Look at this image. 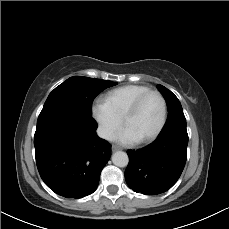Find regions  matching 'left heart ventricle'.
<instances>
[{
	"label": "left heart ventricle",
	"instance_id": "obj_1",
	"mask_svg": "<svg viewBox=\"0 0 229 229\" xmlns=\"http://www.w3.org/2000/svg\"><path fill=\"white\" fill-rule=\"evenodd\" d=\"M162 119V104L158 96L147 97L137 112L128 121L125 130L136 139H142L152 134Z\"/></svg>",
	"mask_w": 229,
	"mask_h": 229
}]
</instances>
